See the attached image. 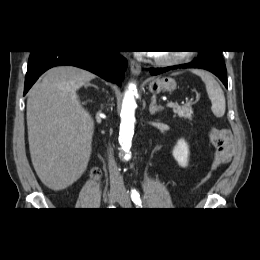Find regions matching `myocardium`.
I'll return each instance as SVG.
<instances>
[{
	"instance_id": "1",
	"label": "myocardium",
	"mask_w": 260,
	"mask_h": 260,
	"mask_svg": "<svg viewBox=\"0 0 260 260\" xmlns=\"http://www.w3.org/2000/svg\"><path fill=\"white\" fill-rule=\"evenodd\" d=\"M189 57L188 53H182L170 57H159L154 55L152 57L153 62L159 66H173L185 61Z\"/></svg>"
}]
</instances>
